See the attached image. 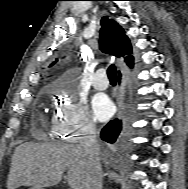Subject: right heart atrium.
<instances>
[{
    "label": "right heart atrium",
    "mask_w": 188,
    "mask_h": 189,
    "mask_svg": "<svg viewBox=\"0 0 188 189\" xmlns=\"http://www.w3.org/2000/svg\"><path fill=\"white\" fill-rule=\"evenodd\" d=\"M57 100L53 132L58 137L75 142L95 133L96 123L83 102L75 99L67 91H61Z\"/></svg>",
    "instance_id": "obj_1"
}]
</instances>
